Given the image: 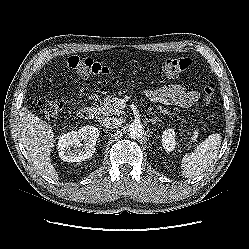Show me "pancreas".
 Here are the masks:
<instances>
[{
  "label": "pancreas",
  "instance_id": "cf45deb5",
  "mask_svg": "<svg viewBox=\"0 0 249 249\" xmlns=\"http://www.w3.org/2000/svg\"><path fill=\"white\" fill-rule=\"evenodd\" d=\"M100 113L110 116V115H120L122 113V104L121 99L117 97L108 96L104 99L101 105L98 107ZM163 114H169L166 109H163L161 106L157 107ZM198 138V131H194L191 137L192 140H196Z\"/></svg>",
  "mask_w": 249,
  "mask_h": 249
}]
</instances>
